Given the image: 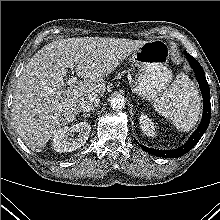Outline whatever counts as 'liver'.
I'll list each match as a JSON object with an SVG mask.
<instances>
[{
    "instance_id": "6515ba94",
    "label": "liver",
    "mask_w": 220,
    "mask_h": 220,
    "mask_svg": "<svg viewBox=\"0 0 220 220\" xmlns=\"http://www.w3.org/2000/svg\"><path fill=\"white\" fill-rule=\"evenodd\" d=\"M144 43L82 37L56 40L42 47L22 70L13 95V121L27 147L41 152L52 135L73 122L80 102L89 95H103L105 76ZM71 64L83 80L66 87Z\"/></svg>"
}]
</instances>
